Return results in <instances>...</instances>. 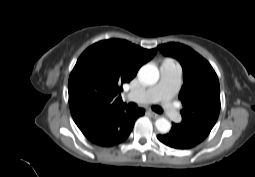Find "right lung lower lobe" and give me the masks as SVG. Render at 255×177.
Instances as JSON below:
<instances>
[{"label":"right lung lower lobe","mask_w":255,"mask_h":177,"mask_svg":"<svg viewBox=\"0 0 255 177\" xmlns=\"http://www.w3.org/2000/svg\"><path fill=\"white\" fill-rule=\"evenodd\" d=\"M145 110H128L121 105L104 113L96 114L76 123L84 136L92 143L103 146H115L127 139L136 119L144 115Z\"/></svg>","instance_id":"obj_1"}]
</instances>
